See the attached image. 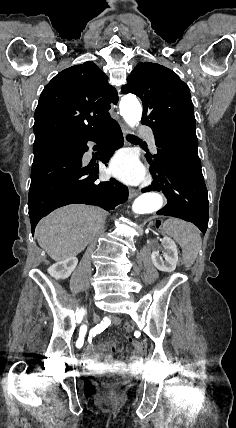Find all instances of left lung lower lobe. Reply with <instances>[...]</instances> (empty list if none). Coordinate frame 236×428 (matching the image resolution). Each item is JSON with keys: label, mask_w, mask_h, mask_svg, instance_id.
<instances>
[{"label": "left lung lower lobe", "mask_w": 236, "mask_h": 428, "mask_svg": "<svg viewBox=\"0 0 236 428\" xmlns=\"http://www.w3.org/2000/svg\"><path fill=\"white\" fill-rule=\"evenodd\" d=\"M157 149L150 171L154 175L151 186L142 192H162L168 200L158 215L173 216L195 224L203 234L208 227L209 203L207 189L198 155L184 151L170 141L155 135ZM158 172V176L155 174Z\"/></svg>", "instance_id": "obj_1"}]
</instances>
